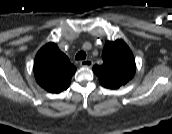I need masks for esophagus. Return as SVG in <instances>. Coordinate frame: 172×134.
I'll use <instances>...</instances> for the list:
<instances>
[{"label":"esophagus","instance_id":"1","mask_svg":"<svg viewBox=\"0 0 172 134\" xmlns=\"http://www.w3.org/2000/svg\"><path fill=\"white\" fill-rule=\"evenodd\" d=\"M80 66L91 68L93 66V61L91 59L82 60L80 61Z\"/></svg>","mask_w":172,"mask_h":134}]
</instances>
